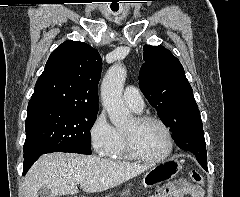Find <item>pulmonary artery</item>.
<instances>
[{"mask_svg": "<svg viewBox=\"0 0 240 197\" xmlns=\"http://www.w3.org/2000/svg\"><path fill=\"white\" fill-rule=\"evenodd\" d=\"M125 104L135 112H141L144 101L140 91L134 86H127L123 93Z\"/></svg>", "mask_w": 240, "mask_h": 197, "instance_id": "e3ab8cb5", "label": "pulmonary artery"}]
</instances>
